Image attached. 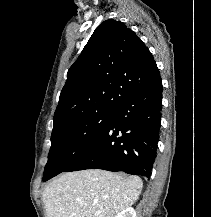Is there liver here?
I'll list each match as a JSON object with an SVG mask.
<instances>
[{
	"label": "liver",
	"instance_id": "obj_1",
	"mask_svg": "<svg viewBox=\"0 0 211 217\" xmlns=\"http://www.w3.org/2000/svg\"><path fill=\"white\" fill-rule=\"evenodd\" d=\"M142 180L100 169L67 172L43 191L47 217H115L132 206Z\"/></svg>",
	"mask_w": 211,
	"mask_h": 217
}]
</instances>
